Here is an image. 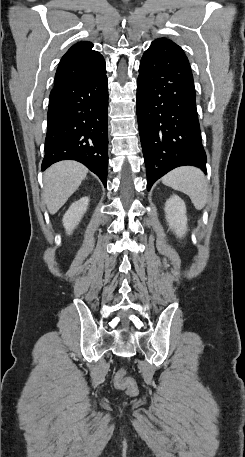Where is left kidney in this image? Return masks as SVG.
Segmentation results:
<instances>
[{
  "label": "left kidney",
  "mask_w": 245,
  "mask_h": 457,
  "mask_svg": "<svg viewBox=\"0 0 245 457\" xmlns=\"http://www.w3.org/2000/svg\"><path fill=\"white\" fill-rule=\"evenodd\" d=\"M166 220L177 237H184L187 231L186 204L178 194L167 198L164 208Z\"/></svg>",
  "instance_id": "obj_1"
}]
</instances>
